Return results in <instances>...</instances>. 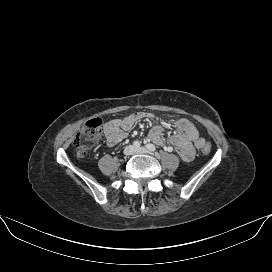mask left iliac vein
I'll list each match as a JSON object with an SVG mask.
<instances>
[{
  "mask_svg": "<svg viewBox=\"0 0 272 272\" xmlns=\"http://www.w3.org/2000/svg\"><path fill=\"white\" fill-rule=\"evenodd\" d=\"M135 153L136 154H147L148 150L144 147H139L135 149Z\"/></svg>",
  "mask_w": 272,
  "mask_h": 272,
  "instance_id": "obj_1",
  "label": "left iliac vein"
}]
</instances>
